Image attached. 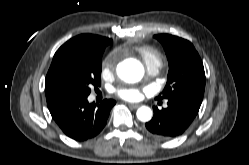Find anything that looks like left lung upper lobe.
<instances>
[{
  "mask_svg": "<svg viewBox=\"0 0 249 165\" xmlns=\"http://www.w3.org/2000/svg\"><path fill=\"white\" fill-rule=\"evenodd\" d=\"M161 42L169 62L166 86L157 100L187 98L202 103L205 89L203 63L187 40L169 34L154 36Z\"/></svg>",
  "mask_w": 249,
  "mask_h": 165,
  "instance_id": "left-lung-upper-lobe-1",
  "label": "left lung upper lobe"
}]
</instances>
